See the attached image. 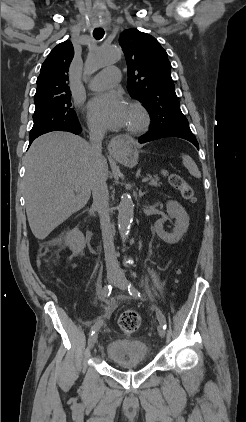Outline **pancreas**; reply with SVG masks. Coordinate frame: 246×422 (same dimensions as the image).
<instances>
[{
  "instance_id": "1",
  "label": "pancreas",
  "mask_w": 246,
  "mask_h": 422,
  "mask_svg": "<svg viewBox=\"0 0 246 422\" xmlns=\"http://www.w3.org/2000/svg\"><path fill=\"white\" fill-rule=\"evenodd\" d=\"M150 185H153V186H159L160 185V183L158 182V177L157 176H155V178H152V182L151 183H149Z\"/></svg>"
}]
</instances>
